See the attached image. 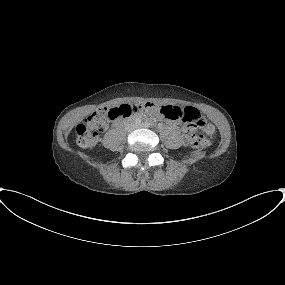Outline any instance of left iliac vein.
Wrapping results in <instances>:
<instances>
[{
    "mask_svg": "<svg viewBox=\"0 0 285 285\" xmlns=\"http://www.w3.org/2000/svg\"><path fill=\"white\" fill-rule=\"evenodd\" d=\"M141 126H143V125H142V124H139V125H138V127H141Z\"/></svg>",
    "mask_w": 285,
    "mask_h": 285,
    "instance_id": "4c4485c4",
    "label": "left iliac vein"
}]
</instances>
